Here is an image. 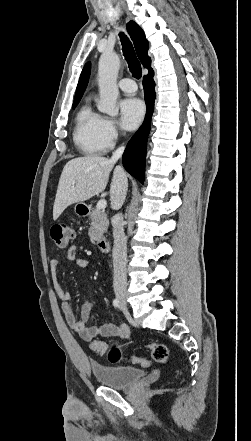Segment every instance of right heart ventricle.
Returning <instances> with one entry per match:
<instances>
[{"mask_svg": "<svg viewBox=\"0 0 251 441\" xmlns=\"http://www.w3.org/2000/svg\"><path fill=\"white\" fill-rule=\"evenodd\" d=\"M103 117L91 105L84 103L76 114L73 140L81 152L87 155L104 153L110 146L101 132Z\"/></svg>", "mask_w": 251, "mask_h": 441, "instance_id": "1", "label": "right heart ventricle"}]
</instances>
